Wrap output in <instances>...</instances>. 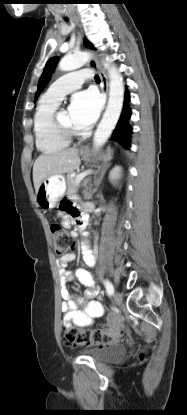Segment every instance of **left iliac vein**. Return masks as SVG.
I'll use <instances>...</instances> for the list:
<instances>
[{
    "mask_svg": "<svg viewBox=\"0 0 187 415\" xmlns=\"http://www.w3.org/2000/svg\"><path fill=\"white\" fill-rule=\"evenodd\" d=\"M113 299H114V302L117 305H119L122 302V300H123L121 293L118 292V291H115L114 292Z\"/></svg>",
    "mask_w": 187,
    "mask_h": 415,
    "instance_id": "4c4485c4",
    "label": "left iliac vein"
}]
</instances>
